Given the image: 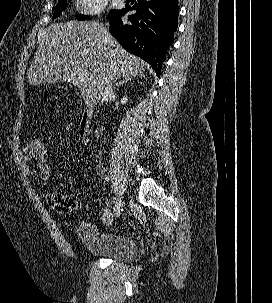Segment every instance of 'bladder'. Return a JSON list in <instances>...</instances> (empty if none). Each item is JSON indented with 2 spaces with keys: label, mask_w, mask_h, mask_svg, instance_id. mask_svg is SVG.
<instances>
[{
  "label": "bladder",
  "mask_w": 272,
  "mask_h": 303,
  "mask_svg": "<svg viewBox=\"0 0 272 303\" xmlns=\"http://www.w3.org/2000/svg\"><path fill=\"white\" fill-rule=\"evenodd\" d=\"M76 232L85 252L90 256L128 261L137 253V246L130 237L101 232L91 221H81L76 226Z\"/></svg>",
  "instance_id": "1"
}]
</instances>
